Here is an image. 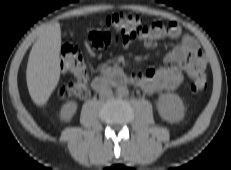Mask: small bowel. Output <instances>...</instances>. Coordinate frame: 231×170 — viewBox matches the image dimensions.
<instances>
[{"label": "small bowel", "instance_id": "obj_1", "mask_svg": "<svg viewBox=\"0 0 231 170\" xmlns=\"http://www.w3.org/2000/svg\"><path fill=\"white\" fill-rule=\"evenodd\" d=\"M164 38L180 39L165 57L164 65L137 72L130 77L132 83L144 91L157 93L179 88L186 75L195 77L206 67V59L197 41L192 36L183 34L177 23L164 25L153 22L136 37L122 35L112 30L92 31L87 36V42L94 48L102 49L112 44L128 47L134 39H137L146 47H155Z\"/></svg>", "mask_w": 231, "mask_h": 170}]
</instances>
